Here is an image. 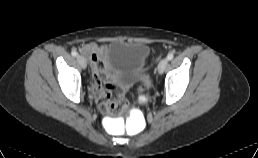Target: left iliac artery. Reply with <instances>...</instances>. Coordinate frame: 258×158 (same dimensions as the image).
Wrapping results in <instances>:
<instances>
[{
  "mask_svg": "<svg viewBox=\"0 0 258 158\" xmlns=\"http://www.w3.org/2000/svg\"><path fill=\"white\" fill-rule=\"evenodd\" d=\"M174 57V54L172 52H170L168 55H167V59L168 60H172Z\"/></svg>",
  "mask_w": 258,
  "mask_h": 158,
  "instance_id": "44dca946",
  "label": "left iliac artery"
}]
</instances>
